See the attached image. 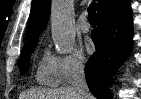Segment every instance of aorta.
Listing matches in <instances>:
<instances>
[{
  "label": "aorta",
  "mask_w": 141,
  "mask_h": 99,
  "mask_svg": "<svg viewBox=\"0 0 141 99\" xmlns=\"http://www.w3.org/2000/svg\"><path fill=\"white\" fill-rule=\"evenodd\" d=\"M52 39L62 54L70 53L75 42L73 0H53L51 4Z\"/></svg>",
  "instance_id": "762f6f07"
}]
</instances>
